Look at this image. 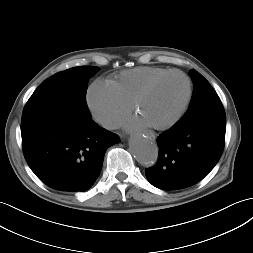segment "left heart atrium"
<instances>
[{"instance_id":"1","label":"left heart atrium","mask_w":253,"mask_h":253,"mask_svg":"<svg viewBox=\"0 0 253 253\" xmlns=\"http://www.w3.org/2000/svg\"><path fill=\"white\" fill-rule=\"evenodd\" d=\"M144 126H149V124L144 119H142L139 116H137L136 118L132 119L128 123V127H131V128L144 127Z\"/></svg>"}]
</instances>
